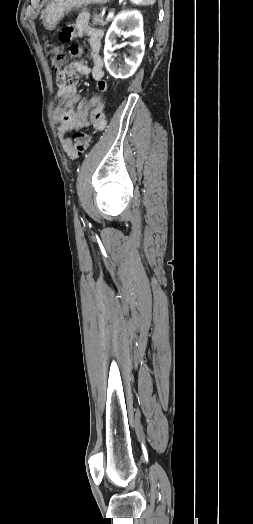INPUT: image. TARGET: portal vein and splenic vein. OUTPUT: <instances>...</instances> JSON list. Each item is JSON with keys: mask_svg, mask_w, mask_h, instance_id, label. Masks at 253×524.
Listing matches in <instances>:
<instances>
[{"mask_svg": "<svg viewBox=\"0 0 253 524\" xmlns=\"http://www.w3.org/2000/svg\"><path fill=\"white\" fill-rule=\"evenodd\" d=\"M113 17H114V11L111 10V11H109V13L107 15V19L109 20V19H111Z\"/></svg>", "mask_w": 253, "mask_h": 524, "instance_id": "1", "label": "portal vein and splenic vein"}]
</instances>
